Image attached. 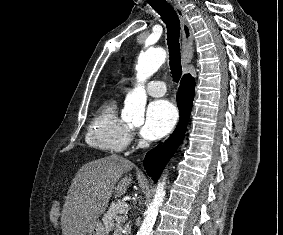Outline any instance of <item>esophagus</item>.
I'll use <instances>...</instances> for the list:
<instances>
[{
    "mask_svg": "<svg viewBox=\"0 0 283 235\" xmlns=\"http://www.w3.org/2000/svg\"><path fill=\"white\" fill-rule=\"evenodd\" d=\"M171 6L174 8L175 12L177 13L180 24H181V30H182V67L184 73L187 72V67L191 63L192 57H193V36H192V30L191 27L187 21L185 12L181 8V6L173 2L172 0H169Z\"/></svg>",
    "mask_w": 283,
    "mask_h": 235,
    "instance_id": "1",
    "label": "esophagus"
}]
</instances>
